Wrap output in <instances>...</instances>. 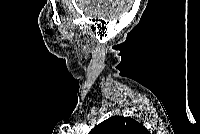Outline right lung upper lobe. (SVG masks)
<instances>
[{
	"mask_svg": "<svg viewBox=\"0 0 200 134\" xmlns=\"http://www.w3.org/2000/svg\"><path fill=\"white\" fill-rule=\"evenodd\" d=\"M146 128L129 117L113 116L97 126L90 134H146Z\"/></svg>",
	"mask_w": 200,
	"mask_h": 134,
	"instance_id": "obj_1",
	"label": "right lung upper lobe"
}]
</instances>
